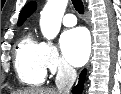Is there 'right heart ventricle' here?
<instances>
[{"label": "right heart ventricle", "mask_w": 121, "mask_h": 94, "mask_svg": "<svg viewBox=\"0 0 121 94\" xmlns=\"http://www.w3.org/2000/svg\"><path fill=\"white\" fill-rule=\"evenodd\" d=\"M15 68L20 82L27 86H40L46 78L42 58V45L30 33L22 36L17 44Z\"/></svg>", "instance_id": "obj_1"}]
</instances>
